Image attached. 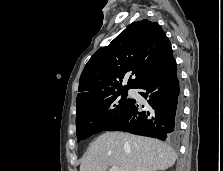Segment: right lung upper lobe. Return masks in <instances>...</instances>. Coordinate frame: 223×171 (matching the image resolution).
I'll return each mask as SVG.
<instances>
[{
	"instance_id": "right-lung-upper-lobe-1",
	"label": "right lung upper lobe",
	"mask_w": 223,
	"mask_h": 171,
	"mask_svg": "<svg viewBox=\"0 0 223 171\" xmlns=\"http://www.w3.org/2000/svg\"><path fill=\"white\" fill-rule=\"evenodd\" d=\"M173 59L171 44L158 23L145 19L133 22L86 64L79 81L77 109L113 93L138 88ZM128 71H133L135 78L122 86Z\"/></svg>"
}]
</instances>
